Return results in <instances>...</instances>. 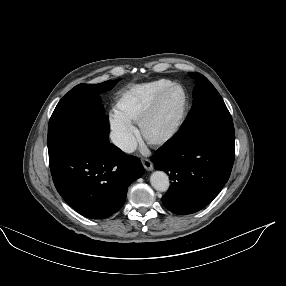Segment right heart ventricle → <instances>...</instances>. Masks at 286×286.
Here are the masks:
<instances>
[{
	"instance_id": "obj_1",
	"label": "right heart ventricle",
	"mask_w": 286,
	"mask_h": 286,
	"mask_svg": "<svg viewBox=\"0 0 286 286\" xmlns=\"http://www.w3.org/2000/svg\"><path fill=\"white\" fill-rule=\"evenodd\" d=\"M173 82L161 78L150 82L131 84L117 96V110L131 122H138L150 102Z\"/></svg>"
}]
</instances>
